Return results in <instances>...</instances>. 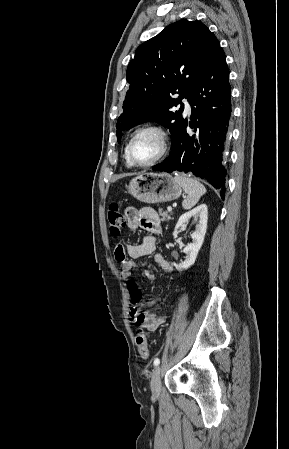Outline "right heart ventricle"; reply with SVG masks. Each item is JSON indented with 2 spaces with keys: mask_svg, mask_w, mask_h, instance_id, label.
Segmentation results:
<instances>
[{
  "mask_svg": "<svg viewBox=\"0 0 289 449\" xmlns=\"http://www.w3.org/2000/svg\"><path fill=\"white\" fill-rule=\"evenodd\" d=\"M124 158H125V161H126L127 166H129V167L133 166V165L130 163V161H129V159H128V156H127V147L125 148V151H124Z\"/></svg>",
  "mask_w": 289,
  "mask_h": 449,
  "instance_id": "e07e8e85",
  "label": "right heart ventricle"
}]
</instances>
